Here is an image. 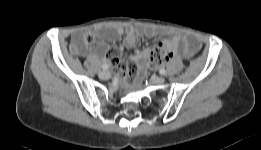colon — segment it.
Returning <instances> with one entry per match:
<instances>
[{
	"instance_id": "colon-1",
	"label": "colon",
	"mask_w": 261,
	"mask_h": 150,
	"mask_svg": "<svg viewBox=\"0 0 261 150\" xmlns=\"http://www.w3.org/2000/svg\"><path fill=\"white\" fill-rule=\"evenodd\" d=\"M93 42V36L91 34H85L80 43H75L70 46V52L73 55H79L82 48L91 46ZM173 56V52L168 49L165 43H157L152 49L148 51L145 58V63L140 70L141 76L139 78H142L145 75L148 67L156 68L170 60Z\"/></svg>"
}]
</instances>
